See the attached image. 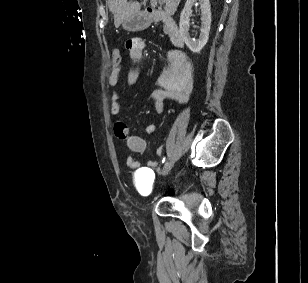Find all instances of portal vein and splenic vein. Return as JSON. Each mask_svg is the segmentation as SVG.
<instances>
[{
	"label": "portal vein and splenic vein",
	"mask_w": 308,
	"mask_h": 283,
	"mask_svg": "<svg viewBox=\"0 0 308 283\" xmlns=\"http://www.w3.org/2000/svg\"><path fill=\"white\" fill-rule=\"evenodd\" d=\"M152 1H154L155 2V0H152ZM162 2V0H159V3H161Z\"/></svg>",
	"instance_id": "1"
}]
</instances>
